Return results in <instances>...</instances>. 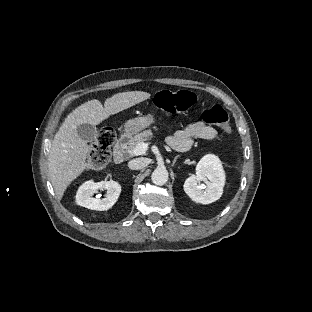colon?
<instances>
[{"instance_id": "obj_1", "label": "colon", "mask_w": 312, "mask_h": 312, "mask_svg": "<svg viewBox=\"0 0 312 312\" xmlns=\"http://www.w3.org/2000/svg\"><path fill=\"white\" fill-rule=\"evenodd\" d=\"M195 98L191 91L179 92L160 91L156 97V106L167 113L181 114L194 104ZM205 123L216 126L227 135L232 134V126L227 112L221 106H214L205 110L202 114ZM115 132L109 127H102L96 135V140L88 161L92 166L100 167L110 160L111 149L115 142Z\"/></svg>"}]
</instances>
